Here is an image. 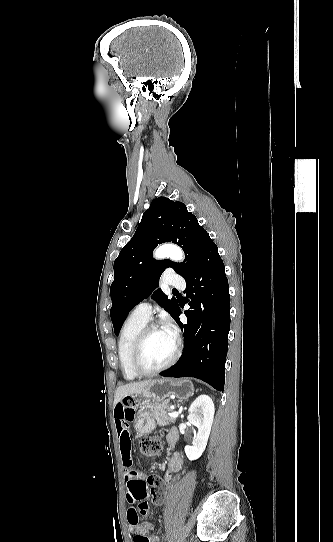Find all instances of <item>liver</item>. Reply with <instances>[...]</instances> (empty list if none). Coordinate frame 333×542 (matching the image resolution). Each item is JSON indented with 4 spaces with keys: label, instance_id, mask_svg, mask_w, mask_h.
<instances>
[{
    "label": "liver",
    "instance_id": "6515ba94",
    "mask_svg": "<svg viewBox=\"0 0 333 542\" xmlns=\"http://www.w3.org/2000/svg\"><path fill=\"white\" fill-rule=\"evenodd\" d=\"M151 380H145V382H129L125 386H119L114 396V408L116 404H119L126 396H132V394H138L141 390H144L146 386H149Z\"/></svg>",
    "mask_w": 333,
    "mask_h": 542
}]
</instances>
